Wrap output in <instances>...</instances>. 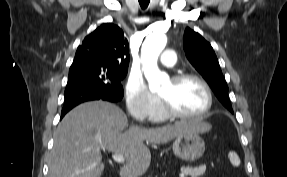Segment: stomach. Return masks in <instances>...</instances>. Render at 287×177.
Here are the masks:
<instances>
[{
  "label": "stomach",
  "instance_id": "obj_1",
  "mask_svg": "<svg viewBox=\"0 0 287 177\" xmlns=\"http://www.w3.org/2000/svg\"><path fill=\"white\" fill-rule=\"evenodd\" d=\"M205 151L204 140L199 132L192 131L179 135L173 142L174 154L185 161H195L200 158Z\"/></svg>",
  "mask_w": 287,
  "mask_h": 177
}]
</instances>
